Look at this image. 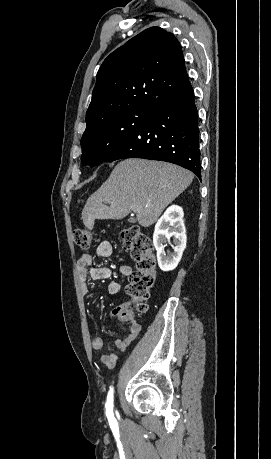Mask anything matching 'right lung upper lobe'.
I'll list each match as a JSON object with an SVG mask.
<instances>
[{"instance_id":"right-lung-upper-lobe-1","label":"right lung upper lobe","mask_w":271,"mask_h":459,"mask_svg":"<svg viewBox=\"0 0 271 459\" xmlns=\"http://www.w3.org/2000/svg\"><path fill=\"white\" fill-rule=\"evenodd\" d=\"M188 84L179 41L159 27L148 28L104 60L86 122L139 105L157 108Z\"/></svg>"}]
</instances>
